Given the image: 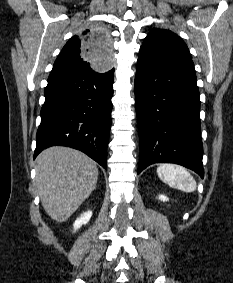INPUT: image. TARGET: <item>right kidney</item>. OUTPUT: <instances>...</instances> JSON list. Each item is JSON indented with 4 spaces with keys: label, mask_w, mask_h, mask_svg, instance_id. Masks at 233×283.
Returning a JSON list of instances; mask_svg holds the SVG:
<instances>
[{
    "label": "right kidney",
    "mask_w": 233,
    "mask_h": 283,
    "mask_svg": "<svg viewBox=\"0 0 233 283\" xmlns=\"http://www.w3.org/2000/svg\"><path fill=\"white\" fill-rule=\"evenodd\" d=\"M92 216V212L91 211H87L85 213H83L79 218L76 219V221L73 224L74 230H78L83 224L88 223V221L90 220Z\"/></svg>",
    "instance_id": "ca27d5eb"
}]
</instances>
